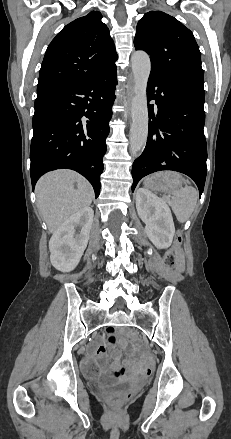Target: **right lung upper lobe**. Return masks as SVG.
<instances>
[{
  "instance_id": "1",
  "label": "right lung upper lobe",
  "mask_w": 231,
  "mask_h": 439,
  "mask_svg": "<svg viewBox=\"0 0 231 439\" xmlns=\"http://www.w3.org/2000/svg\"><path fill=\"white\" fill-rule=\"evenodd\" d=\"M100 12L66 25L49 44L40 69L37 93L83 84L115 66L118 56Z\"/></svg>"
}]
</instances>
